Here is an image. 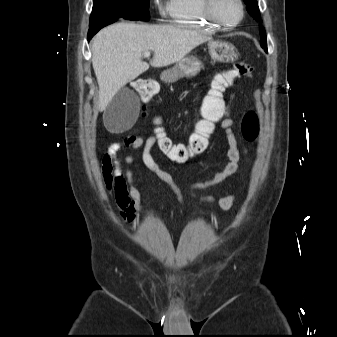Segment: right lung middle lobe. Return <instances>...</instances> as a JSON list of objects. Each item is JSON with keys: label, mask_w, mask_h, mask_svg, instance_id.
I'll return each mask as SVG.
<instances>
[{"label": "right lung middle lobe", "mask_w": 337, "mask_h": 337, "mask_svg": "<svg viewBox=\"0 0 337 337\" xmlns=\"http://www.w3.org/2000/svg\"><path fill=\"white\" fill-rule=\"evenodd\" d=\"M149 0H94L90 26L118 18L148 21Z\"/></svg>", "instance_id": "1"}]
</instances>
